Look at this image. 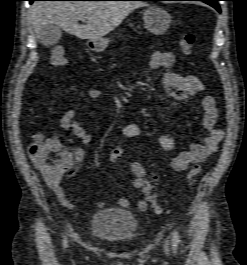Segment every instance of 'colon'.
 Returning <instances> with one entry per match:
<instances>
[{"label":"colon","instance_id":"obj_1","mask_svg":"<svg viewBox=\"0 0 247 265\" xmlns=\"http://www.w3.org/2000/svg\"><path fill=\"white\" fill-rule=\"evenodd\" d=\"M195 44V36L191 33L184 34L179 40V47L183 54L192 53ZM51 65L61 67L65 64V52L63 48L56 47L52 50L50 56ZM28 153L37 165L52 175H65L70 167V157L61 148V146L48 137L37 134L33 142L28 147ZM123 156V149L113 148L109 153L112 161L119 160ZM200 166L195 164L188 173V179L193 180L200 173ZM151 202L155 213L163 214L164 208L160 205L154 196H151Z\"/></svg>","mask_w":247,"mask_h":265}]
</instances>
